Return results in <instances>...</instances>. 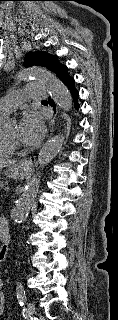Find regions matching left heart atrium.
Listing matches in <instances>:
<instances>
[{
	"label": "left heart atrium",
	"mask_w": 118,
	"mask_h": 320,
	"mask_svg": "<svg viewBox=\"0 0 118 320\" xmlns=\"http://www.w3.org/2000/svg\"><path fill=\"white\" fill-rule=\"evenodd\" d=\"M19 138L26 145L39 143L44 136L45 126L41 114L37 111L26 112L19 124Z\"/></svg>",
	"instance_id": "1"
}]
</instances>
